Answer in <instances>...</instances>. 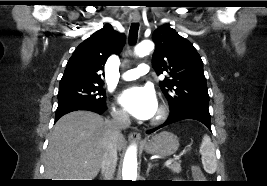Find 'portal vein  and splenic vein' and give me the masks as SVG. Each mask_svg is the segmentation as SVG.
<instances>
[{"mask_svg":"<svg viewBox=\"0 0 267 186\" xmlns=\"http://www.w3.org/2000/svg\"><path fill=\"white\" fill-rule=\"evenodd\" d=\"M173 162V159H168L166 162H165V166H169L171 165Z\"/></svg>","mask_w":267,"mask_h":186,"instance_id":"18ae733b","label":"portal vein and splenic vein"}]
</instances>
